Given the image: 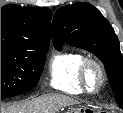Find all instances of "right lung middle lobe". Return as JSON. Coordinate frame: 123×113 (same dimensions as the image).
I'll use <instances>...</instances> for the list:
<instances>
[{"label":"right lung middle lobe","instance_id":"obj_1","mask_svg":"<svg viewBox=\"0 0 123 113\" xmlns=\"http://www.w3.org/2000/svg\"><path fill=\"white\" fill-rule=\"evenodd\" d=\"M49 43H1V99L33 89L42 72Z\"/></svg>","mask_w":123,"mask_h":113}]
</instances>
